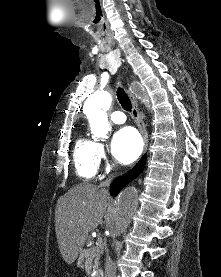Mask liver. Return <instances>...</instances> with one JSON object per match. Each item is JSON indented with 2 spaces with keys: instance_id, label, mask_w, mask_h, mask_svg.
Masks as SVG:
<instances>
[{
  "instance_id": "1",
  "label": "liver",
  "mask_w": 221,
  "mask_h": 277,
  "mask_svg": "<svg viewBox=\"0 0 221 277\" xmlns=\"http://www.w3.org/2000/svg\"><path fill=\"white\" fill-rule=\"evenodd\" d=\"M108 193L99 186L82 183L61 196L55 211V230L60 253L72 264L87 240L88 233L102 223Z\"/></svg>"
}]
</instances>
